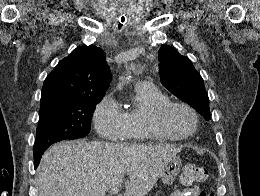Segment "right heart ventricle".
I'll list each match as a JSON object with an SVG mask.
<instances>
[{
    "label": "right heart ventricle",
    "instance_id": "right-heart-ventricle-1",
    "mask_svg": "<svg viewBox=\"0 0 260 196\" xmlns=\"http://www.w3.org/2000/svg\"><path fill=\"white\" fill-rule=\"evenodd\" d=\"M133 105L124 111L126 129L136 130L135 136L122 139L121 143H149L162 138L146 126L145 120L155 106L168 100L156 86L148 83H135L132 86Z\"/></svg>",
    "mask_w": 260,
    "mask_h": 196
}]
</instances>
